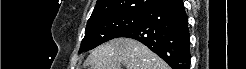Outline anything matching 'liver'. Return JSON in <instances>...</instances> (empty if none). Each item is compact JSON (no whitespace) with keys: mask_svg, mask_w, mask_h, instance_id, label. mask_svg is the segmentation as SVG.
<instances>
[{"mask_svg":"<svg viewBox=\"0 0 246 69\" xmlns=\"http://www.w3.org/2000/svg\"><path fill=\"white\" fill-rule=\"evenodd\" d=\"M86 64L90 69H168V65L142 43L116 38L95 48Z\"/></svg>","mask_w":246,"mask_h":69,"instance_id":"liver-1","label":"liver"}]
</instances>
